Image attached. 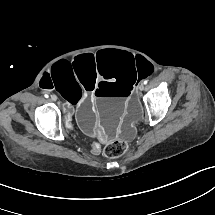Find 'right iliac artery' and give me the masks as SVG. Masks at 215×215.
<instances>
[{
  "label": "right iliac artery",
  "instance_id": "obj_1",
  "mask_svg": "<svg viewBox=\"0 0 215 215\" xmlns=\"http://www.w3.org/2000/svg\"><path fill=\"white\" fill-rule=\"evenodd\" d=\"M44 97H45V98H48V97H49V95H48V94H44Z\"/></svg>",
  "mask_w": 215,
  "mask_h": 215
}]
</instances>
